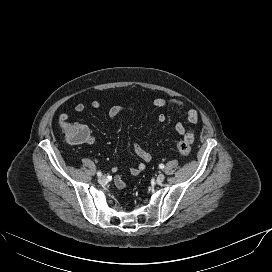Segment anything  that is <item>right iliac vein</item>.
<instances>
[{"instance_id":"right-iliac-vein-1","label":"right iliac vein","mask_w":272,"mask_h":272,"mask_svg":"<svg viewBox=\"0 0 272 272\" xmlns=\"http://www.w3.org/2000/svg\"><path fill=\"white\" fill-rule=\"evenodd\" d=\"M98 182L103 184L106 182V176H100L99 179H98Z\"/></svg>"}]
</instances>
